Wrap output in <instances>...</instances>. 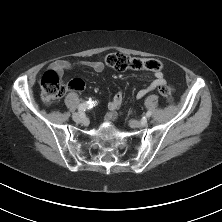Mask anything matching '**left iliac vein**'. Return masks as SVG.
<instances>
[{"label":"left iliac vein","instance_id":"1","mask_svg":"<svg viewBox=\"0 0 222 222\" xmlns=\"http://www.w3.org/2000/svg\"><path fill=\"white\" fill-rule=\"evenodd\" d=\"M148 122L146 119H142L141 121L131 120L129 121V125L133 128L145 127Z\"/></svg>","mask_w":222,"mask_h":222}]
</instances>
